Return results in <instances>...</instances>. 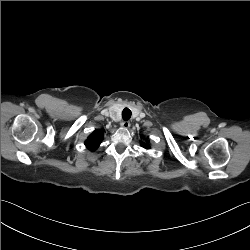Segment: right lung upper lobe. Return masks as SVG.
Segmentation results:
<instances>
[{
    "label": "right lung upper lobe",
    "instance_id": "right-lung-upper-lobe-1",
    "mask_svg": "<svg viewBox=\"0 0 250 250\" xmlns=\"http://www.w3.org/2000/svg\"><path fill=\"white\" fill-rule=\"evenodd\" d=\"M103 140V133L101 131H94L87 139L86 146L91 151H95Z\"/></svg>",
    "mask_w": 250,
    "mask_h": 250
}]
</instances>
